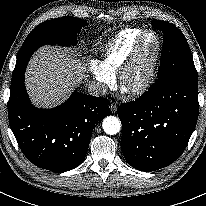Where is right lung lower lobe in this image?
Segmentation results:
<instances>
[{
    "label": "right lung lower lobe",
    "mask_w": 206,
    "mask_h": 206,
    "mask_svg": "<svg viewBox=\"0 0 206 206\" xmlns=\"http://www.w3.org/2000/svg\"><path fill=\"white\" fill-rule=\"evenodd\" d=\"M25 69L11 82L8 116L12 132L36 166L54 172L71 170L83 162L94 127L109 115V101L73 92L56 108H35L25 89Z\"/></svg>",
    "instance_id": "98d812e1"
}]
</instances>
